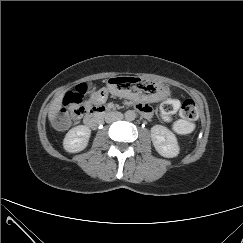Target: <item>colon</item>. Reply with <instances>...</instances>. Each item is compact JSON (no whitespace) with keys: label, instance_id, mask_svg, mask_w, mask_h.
Here are the masks:
<instances>
[{"label":"colon","instance_id":"obj_1","mask_svg":"<svg viewBox=\"0 0 243 243\" xmlns=\"http://www.w3.org/2000/svg\"><path fill=\"white\" fill-rule=\"evenodd\" d=\"M88 92V87L85 84H80L66 93L62 107L54 118L53 123L57 129L68 128L72 118H79L84 114ZM178 109L180 119L173 123V129L179 134H189L194 128V120L197 117L196 104L193 100L187 99L179 105L177 100L169 98L161 106L163 119L169 121Z\"/></svg>","mask_w":243,"mask_h":243}]
</instances>
